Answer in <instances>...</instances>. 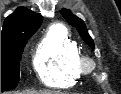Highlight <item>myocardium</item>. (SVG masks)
<instances>
[{
	"label": "myocardium",
	"mask_w": 121,
	"mask_h": 94,
	"mask_svg": "<svg viewBox=\"0 0 121 94\" xmlns=\"http://www.w3.org/2000/svg\"><path fill=\"white\" fill-rule=\"evenodd\" d=\"M80 74H90L96 69V62L89 56L81 55L78 61Z\"/></svg>",
	"instance_id": "f54148a6"
}]
</instances>
